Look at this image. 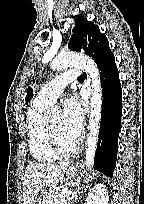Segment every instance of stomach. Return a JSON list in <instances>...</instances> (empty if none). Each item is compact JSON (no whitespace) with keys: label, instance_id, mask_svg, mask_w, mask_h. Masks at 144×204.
<instances>
[{"label":"stomach","instance_id":"obj_1","mask_svg":"<svg viewBox=\"0 0 144 204\" xmlns=\"http://www.w3.org/2000/svg\"><path fill=\"white\" fill-rule=\"evenodd\" d=\"M79 169L78 167H70L66 170V176H67V179H71V178H74L77 173H78ZM51 187L48 189V190H43V194L40 195L39 197L36 198L34 204H42L43 203V198H44V194L48 191H51Z\"/></svg>","mask_w":144,"mask_h":204}]
</instances>
